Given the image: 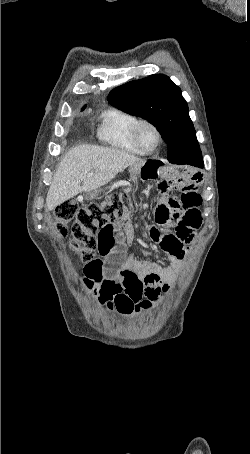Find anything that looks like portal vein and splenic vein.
I'll use <instances>...</instances> for the list:
<instances>
[{"label":"portal vein and splenic vein","instance_id":"18ae733b","mask_svg":"<svg viewBox=\"0 0 250 454\" xmlns=\"http://www.w3.org/2000/svg\"><path fill=\"white\" fill-rule=\"evenodd\" d=\"M91 175H92V173H88V174H87L88 177L91 176Z\"/></svg>","mask_w":250,"mask_h":454}]
</instances>
